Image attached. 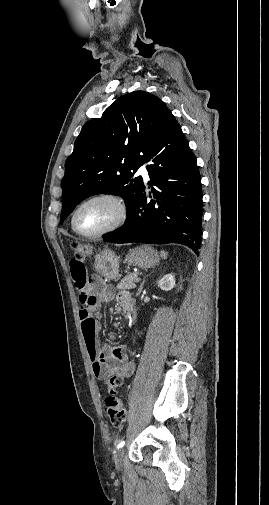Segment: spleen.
Masks as SVG:
<instances>
[{
	"label": "spleen",
	"instance_id": "3e777b00",
	"mask_svg": "<svg viewBox=\"0 0 269 505\" xmlns=\"http://www.w3.org/2000/svg\"><path fill=\"white\" fill-rule=\"evenodd\" d=\"M160 254H161V257H162L163 259H166V258H167V256H168V253H167V252H165V251H163V250L160 252Z\"/></svg>",
	"mask_w": 269,
	"mask_h": 505
}]
</instances>
